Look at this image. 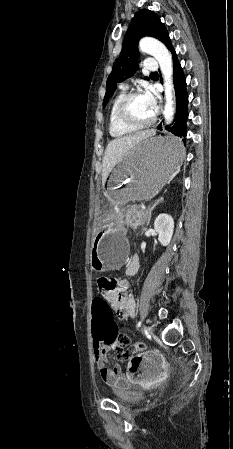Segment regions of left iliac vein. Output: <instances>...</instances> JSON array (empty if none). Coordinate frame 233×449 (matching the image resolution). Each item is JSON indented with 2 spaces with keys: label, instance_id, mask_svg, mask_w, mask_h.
<instances>
[{
  "label": "left iliac vein",
  "instance_id": "4c4485c4",
  "mask_svg": "<svg viewBox=\"0 0 233 449\" xmlns=\"http://www.w3.org/2000/svg\"><path fill=\"white\" fill-rule=\"evenodd\" d=\"M152 332H153V327L150 326V325H148V326L146 327V333H147V334H152Z\"/></svg>",
  "mask_w": 233,
  "mask_h": 449
}]
</instances>
